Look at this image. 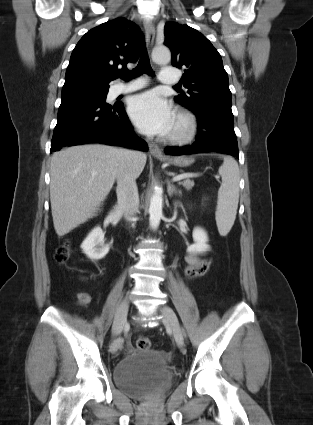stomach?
I'll return each instance as SVG.
<instances>
[{
  "mask_svg": "<svg viewBox=\"0 0 313 425\" xmlns=\"http://www.w3.org/2000/svg\"><path fill=\"white\" fill-rule=\"evenodd\" d=\"M167 161L179 167H186L193 163V159L188 157H174L167 159Z\"/></svg>",
  "mask_w": 313,
  "mask_h": 425,
  "instance_id": "stomach-1",
  "label": "stomach"
}]
</instances>
